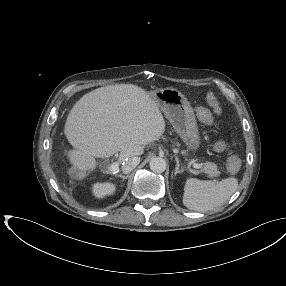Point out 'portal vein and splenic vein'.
I'll use <instances>...</instances> for the list:
<instances>
[{
  "label": "portal vein and splenic vein",
  "instance_id": "18ae733b",
  "mask_svg": "<svg viewBox=\"0 0 286 286\" xmlns=\"http://www.w3.org/2000/svg\"><path fill=\"white\" fill-rule=\"evenodd\" d=\"M190 164L196 168V169H202V165L201 164H198V163H195V162H190ZM119 170V165L118 163H113L111 166H110V171L115 174L117 173Z\"/></svg>",
  "mask_w": 286,
  "mask_h": 286
}]
</instances>
